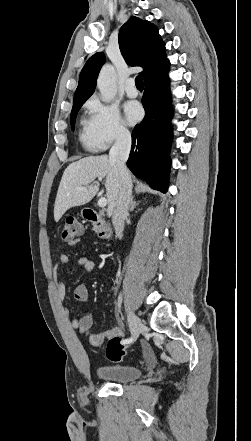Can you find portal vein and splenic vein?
<instances>
[{
	"label": "portal vein and splenic vein",
	"mask_w": 251,
	"mask_h": 441,
	"mask_svg": "<svg viewBox=\"0 0 251 441\" xmlns=\"http://www.w3.org/2000/svg\"><path fill=\"white\" fill-rule=\"evenodd\" d=\"M78 189H85V188H83V187H78ZM107 205V199L105 198V197H101V198H99V200H98V206L100 207V208H104L105 206Z\"/></svg>",
	"instance_id": "obj_1"
}]
</instances>
